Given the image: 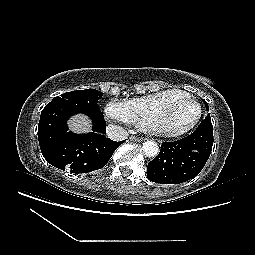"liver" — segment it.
<instances>
[{"label":"liver","instance_id":"obj_1","mask_svg":"<svg viewBox=\"0 0 255 255\" xmlns=\"http://www.w3.org/2000/svg\"><path fill=\"white\" fill-rule=\"evenodd\" d=\"M69 129L75 133H87L91 131V121L85 115L79 114L69 120Z\"/></svg>","mask_w":255,"mask_h":255}]
</instances>
